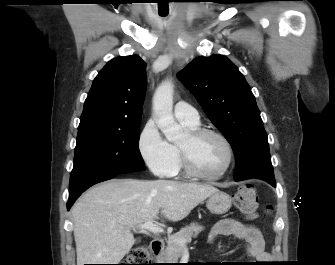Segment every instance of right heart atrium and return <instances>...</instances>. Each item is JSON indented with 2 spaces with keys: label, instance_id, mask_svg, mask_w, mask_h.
<instances>
[{
  "label": "right heart atrium",
  "instance_id": "right-heart-atrium-1",
  "mask_svg": "<svg viewBox=\"0 0 335 265\" xmlns=\"http://www.w3.org/2000/svg\"><path fill=\"white\" fill-rule=\"evenodd\" d=\"M138 150L144 163L156 176H168L175 167L176 150L164 138L153 119H149L140 132Z\"/></svg>",
  "mask_w": 335,
  "mask_h": 265
}]
</instances>
